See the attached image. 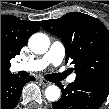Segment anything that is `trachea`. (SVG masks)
I'll use <instances>...</instances> for the list:
<instances>
[{"mask_svg": "<svg viewBox=\"0 0 109 109\" xmlns=\"http://www.w3.org/2000/svg\"><path fill=\"white\" fill-rule=\"evenodd\" d=\"M18 75L21 76V77H28L29 76V74L27 72H25V71H20L18 73ZM45 78L48 81L57 80L58 78H60V74H53V75L48 74V75L45 76Z\"/></svg>", "mask_w": 109, "mask_h": 109, "instance_id": "obj_1", "label": "trachea"}]
</instances>
